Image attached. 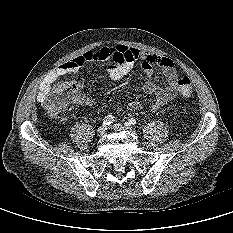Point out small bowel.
I'll list each match as a JSON object with an SVG mask.
<instances>
[{"label":"small bowel","instance_id":"1","mask_svg":"<svg viewBox=\"0 0 233 233\" xmlns=\"http://www.w3.org/2000/svg\"><path fill=\"white\" fill-rule=\"evenodd\" d=\"M109 61L107 72L110 78L114 81L122 79L132 68L136 61H140L146 73L147 80L144 85V92L155 97V102L151 109L156 110L172 101L177 95L179 76L173 61L167 57L156 54L143 52L135 48H130L124 45L115 47H102L96 51H87L73 59L60 64L52 75V80L65 74H72L89 62ZM159 67L165 78V85L159 86L154 82V68ZM54 87L51 82L43 84L38 92V100L47 105L48 99ZM82 106H91L95 102L86 95L79 94L74 101ZM131 108L138 110L141 108V103L138 100L130 102ZM66 121V118H62Z\"/></svg>","mask_w":233,"mask_h":233}]
</instances>
